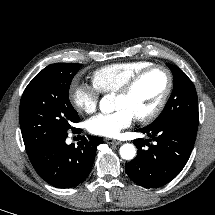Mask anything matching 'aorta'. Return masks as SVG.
<instances>
[{"label": "aorta", "mask_w": 215, "mask_h": 215, "mask_svg": "<svg viewBox=\"0 0 215 215\" xmlns=\"http://www.w3.org/2000/svg\"><path fill=\"white\" fill-rule=\"evenodd\" d=\"M100 110L104 113H109L114 110V104L111 101V96L107 95L100 101ZM136 149L133 144L127 143L121 146L120 155L125 160H131L135 157Z\"/></svg>", "instance_id": "aorta-1"}]
</instances>
